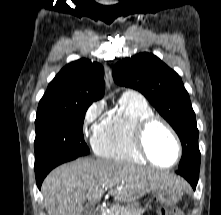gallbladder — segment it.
Returning <instances> with one entry per match:
<instances>
[{
  "mask_svg": "<svg viewBox=\"0 0 221 215\" xmlns=\"http://www.w3.org/2000/svg\"><path fill=\"white\" fill-rule=\"evenodd\" d=\"M94 206L92 204H86L81 215H93Z\"/></svg>",
  "mask_w": 221,
  "mask_h": 215,
  "instance_id": "1",
  "label": "gallbladder"
}]
</instances>
